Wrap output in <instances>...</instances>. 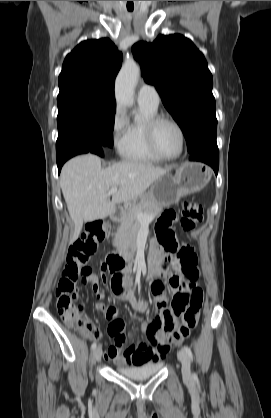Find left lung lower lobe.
<instances>
[{"instance_id": "0a47b994", "label": "left lung lower lobe", "mask_w": 271, "mask_h": 418, "mask_svg": "<svg viewBox=\"0 0 271 418\" xmlns=\"http://www.w3.org/2000/svg\"><path fill=\"white\" fill-rule=\"evenodd\" d=\"M191 161H201L210 165L215 173H218L219 167V150L217 144L210 145L198 150L196 153L191 154Z\"/></svg>"}]
</instances>
